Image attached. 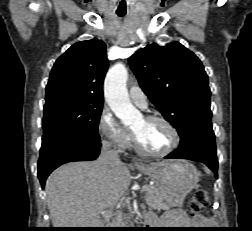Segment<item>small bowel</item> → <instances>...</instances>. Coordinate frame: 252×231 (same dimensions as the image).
Instances as JSON below:
<instances>
[{
	"instance_id": "small-bowel-1",
	"label": "small bowel",
	"mask_w": 252,
	"mask_h": 231,
	"mask_svg": "<svg viewBox=\"0 0 252 231\" xmlns=\"http://www.w3.org/2000/svg\"><path fill=\"white\" fill-rule=\"evenodd\" d=\"M165 218L174 222L182 229H190V231H196L195 229H201L207 225L208 219L202 215H198L193 219L187 217V215L181 210H175L168 212Z\"/></svg>"
}]
</instances>
